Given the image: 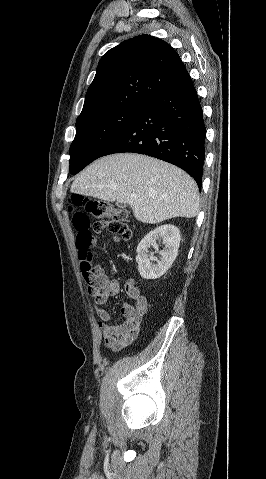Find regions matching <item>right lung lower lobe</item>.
Wrapping results in <instances>:
<instances>
[{"mask_svg":"<svg viewBox=\"0 0 266 479\" xmlns=\"http://www.w3.org/2000/svg\"><path fill=\"white\" fill-rule=\"evenodd\" d=\"M206 128L197 92L189 79L154 98L104 150L149 155L172 163L202 185Z\"/></svg>","mask_w":266,"mask_h":479,"instance_id":"obj_1","label":"right lung lower lobe"}]
</instances>
